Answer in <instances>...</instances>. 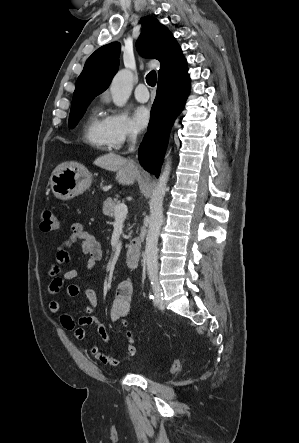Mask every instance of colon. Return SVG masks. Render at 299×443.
Segmentation results:
<instances>
[{"label": "colon", "mask_w": 299, "mask_h": 443, "mask_svg": "<svg viewBox=\"0 0 299 443\" xmlns=\"http://www.w3.org/2000/svg\"><path fill=\"white\" fill-rule=\"evenodd\" d=\"M42 231H53L58 228V218L56 214L51 210H46L43 213L42 222L40 224ZM180 363L178 360H174L168 367L170 372H176L179 369Z\"/></svg>", "instance_id": "obj_1"}]
</instances>
